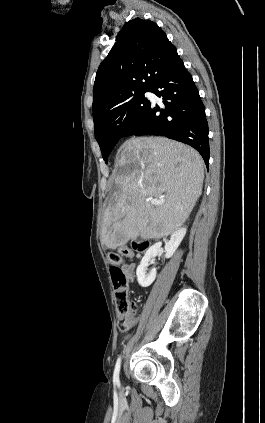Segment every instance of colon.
Segmentation results:
<instances>
[{"instance_id":"colon-1","label":"colon","mask_w":265,"mask_h":423,"mask_svg":"<svg viewBox=\"0 0 265 423\" xmlns=\"http://www.w3.org/2000/svg\"><path fill=\"white\" fill-rule=\"evenodd\" d=\"M148 248V242L135 241L130 247L122 246L109 255L111 279L115 288V302L119 314L118 326L121 330H129L133 327L137 320V310L129 297L126 275L119 265L124 259L131 258L135 252L144 253Z\"/></svg>"}]
</instances>
